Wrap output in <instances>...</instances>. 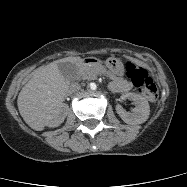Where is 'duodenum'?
<instances>
[{
	"label": "duodenum",
	"mask_w": 187,
	"mask_h": 187,
	"mask_svg": "<svg viewBox=\"0 0 187 187\" xmlns=\"http://www.w3.org/2000/svg\"><path fill=\"white\" fill-rule=\"evenodd\" d=\"M92 60L90 58H82L80 60H78L75 64L76 68H80L88 63H90Z\"/></svg>",
	"instance_id": "duodenum-1"
}]
</instances>
